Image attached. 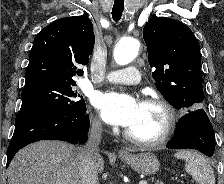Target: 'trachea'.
<instances>
[{
  "label": "trachea",
  "mask_w": 224,
  "mask_h": 184,
  "mask_svg": "<svg viewBox=\"0 0 224 184\" xmlns=\"http://www.w3.org/2000/svg\"><path fill=\"white\" fill-rule=\"evenodd\" d=\"M124 10V0H115L112 8V17L114 21L118 22Z\"/></svg>",
  "instance_id": "trachea-1"
}]
</instances>
